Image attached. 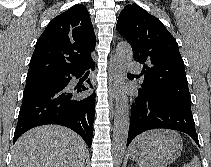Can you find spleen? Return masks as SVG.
Returning <instances> with one entry per match:
<instances>
[{"label":"spleen","instance_id":"1","mask_svg":"<svg viewBox=\"0 0 211 167\" xmlns=\"http://www.w3.org/2000/svg\"><path fill=\"white\" fill-rule=\"evenodd\" d=\"M184 167H201V163H200L199 158L194 155L191 162H189L188 164H185Z\"/></svg>","mask_w":211,"mask_h":167}]
</instances>
